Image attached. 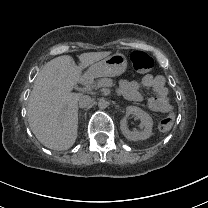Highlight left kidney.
Instances as JSON below:
<instances>
[{
  "instance_id": "left-kidney-1",
  "label": "left kidney",
  "mask_w": 208,
  "mask_h": 208,
  "mask_svg": "<svg viewBox=\"0 0 208 208\" xmlns=\"http://www.w3.org/2000/svg\"><path fill=\"white\" fill-rule=\"evenodd\" d=\"M133 114L141 120L140 131H130L127 127V120L124 117L120 121V129L123 135L132 141L145 140L152 135L153 120L149 114L136 106H128L126 108V115Z\"/></svg>"
}]
</instances>
